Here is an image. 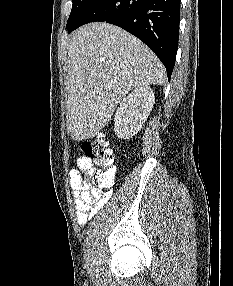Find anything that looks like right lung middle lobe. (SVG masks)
I'll return each mask as SVG.
<instances>
[{
    "label": "right lung middle lobe",
    "mask_w": 233,
    "mask_h": 286,
    "mask_svg": "<svg viewBox=\"0 0 233 286\" xmlns=\"http://www.w3.org/2000/svg\"><path fill=\"white\" fill-rule=\"evenodd\" d=\"M72 10L70 13V16L68 18L67 26L66 28L69 29L71 26L75 24V22L78 20L90 0H72Z\"/></svg>",
    "instance_id": "1"
}]
</instances>
